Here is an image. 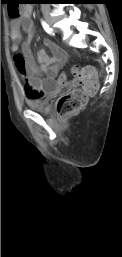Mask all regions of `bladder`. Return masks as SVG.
Here are the masks:
<instances>
[{"label": "bladder", "mask_w": 122, "mask_h": 257, "mask_svg": "<svg viewBox=\"0 0 122 257\" xmlns=\"http://www.w3.org/2000/svg\"><path fill=\"white\" fill-rule=\"evenodd\" d=\"M28 106L36 112L47 113L50 111V98L27 100Z\"/></svg>", "instance_id": "bladder-1"}]
</instances>
